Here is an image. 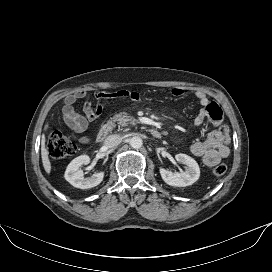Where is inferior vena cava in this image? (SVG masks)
<instances>
[{
  "mask_svg": "<svg viewBox=\"0 0 272 272\" xmlns=\"http://www.w3.org/2000/svg\"><path fill=\"white\" fill-rule=\"evenodd\" d=\"M121 141L122 138L119 135L113 134L106 137L104 145L108 148H114L118 146L121 143Z\"/></svg>",
  "mask_w": 272,
  "mask_h": 272,
  "instance_id": "obj_1",
  "label": "inferior vena cava"
}]
</instances>
